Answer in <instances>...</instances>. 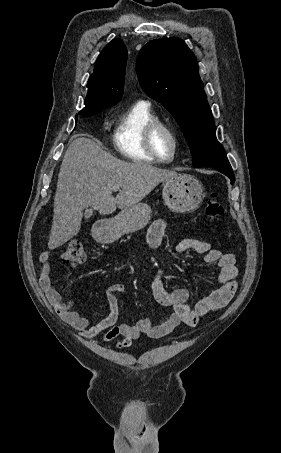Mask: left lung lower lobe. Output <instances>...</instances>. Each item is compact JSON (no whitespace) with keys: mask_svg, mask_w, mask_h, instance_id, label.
I'll use <instances>...</instances> for the list:
<instances>
[{"mask_svg":"<svg viewBox=\"0 0 281 453\" xmlns=\"http://www.w3.org/2000/svg\"><path fill=\"white\" fill-rule=\"evenodd\" d=\"M213 168H215L219 172L223 173L224 175L228 176L231 180V183H234L235 176H234V173H233L231 167H228V168L213 167Z\"/></svg>","mask_w":281,"mask_h":453,"instance_id":"0a47b994","label":"left lung lower lobe"}]
</instances>
